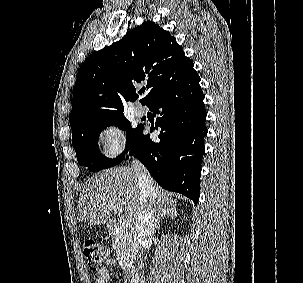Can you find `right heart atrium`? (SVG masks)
Masks as SVG:
<instances>
[{
	"label": "right heart atrium",
	"instance_id": "1",
	"mask_svg": "<svg viewBox=\"0 0 303 283\" xmlns=\"http://www.w3.org/2000/svg\"><path fill=\"white\" fill-rule=\"evenodd\" d=\"M97 143L105 157L114 159L125 150L126 135L124 130L117 124L107 123L98 131Z\"/></svg>",
	"mask_w": 303,
	"mask_h": 283
}]
</instances>
